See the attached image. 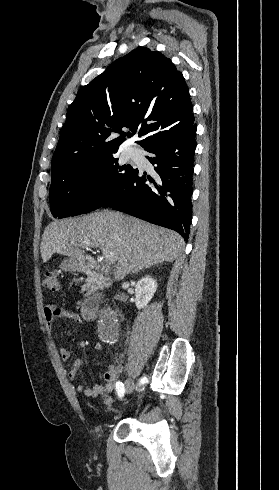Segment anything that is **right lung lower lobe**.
I'll return each mask as SVG.
<instances>
[{
  "label": "right lung lower lobe",
  "mask_w": 279,
  "mask_h": 490,
  "mask_svg": "<svg viewBox=\"0 0 279 490\" xmlns=\"http://www.w3.org/2000/svg\"><path fill=\"white\" fill-rule=\"evenodd\" d=\"M197 125L145 148L146 158L160 178L138 172L104 204L156 225L178 232L185 241L190 234L192 176ZM150 181L151 183H148Z\"/></svg>",
  "instance_id": "obj_1"
}]
</instances>
